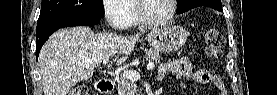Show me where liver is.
<instances>
[{"label": "liver", "mask_w": 277, "mask_h": 95, "mask_svg": "<svg viewBox=\"0 0 277 95\" xmlns=\"http://www.w3.org/2000/svg\"><path fill=\"white\" fill-rule=\"evenodd\" d=\"M142 34H95L83 26L58 30L39 54L44 95H67L77 82L92 77L103 59L115 54L122 55L117 60L118 65L122 64Z\"/></svg>", "instance_id": "obj_1"}]
</instances>
